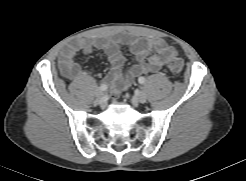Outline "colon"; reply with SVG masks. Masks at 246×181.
Wrapping results in <instances>:
<instances>
[{"label": "colon", "mask_w": 246, "mask_h": 181, "mask_svg": "<svg viewBox=\"0 0 246 181\" xmlns=\"http://www.w3.org/2000/svg\"><path fill=\"white\" fill-rule=\"evenodd\" d=\"M184 67V60L176 55H171L168 61V69L173 74H179Z\"/></svg>", "instance_id": "colon-1"}]
</instances>
